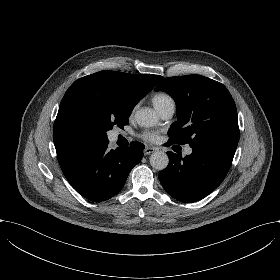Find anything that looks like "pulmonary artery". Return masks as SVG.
Listing matches in <instances>:
<instances>
[{"label":"pulmonary artery","instance_id":"obj_1","mask_svg":"<svg viewBox=\"0 0 280 280\" xmlns=\"http://www.w3.org/2000/svg\"><path fill=\"white\" fill-rule=\"evenodd\" d=\"M174 112H175V104L173 102L163 106L160 109V114L162 118L165 120L172 118Z\"/></svg>","mask_w":280,"mask_h":280}]
</instances>
